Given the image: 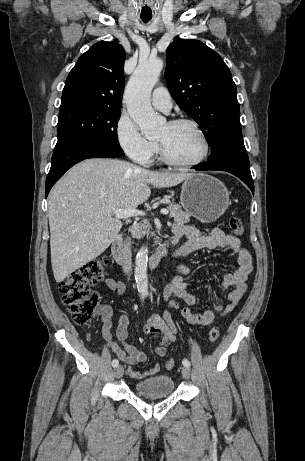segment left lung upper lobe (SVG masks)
I'll use <instances>...</instances> for the list:
<instances>
[{
    "instance_id": "obj_1",
    "label": "left lung upper lobe",
    "mask_w": 305,
    "mask_h": 461,
    "mask_svg": "<svg viewBox=\"0 0 305 461\" xmlns=\"http://www.w3.org/2000/svg\"><path fill=\"white\" fill-rule=\"evenodd\" d=\"M166 56L167 87L179 107L200 125L212 148L207 161L216 160L228 135L241 132L231 72L219 54L193 39L171 43Z\"/></svg>"
}]
</instances>
